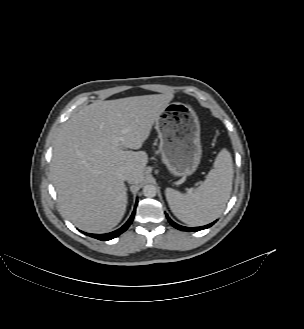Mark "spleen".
Instances as JSON below:
<instances>
[{
    "label": "spleen",
    "instance_id": "spleen-1",
    "mask_svg": "<svg viewBox=\"0 0 304 329\" xmlns=\"http://www.w3.org/2000/svg\"><path fill=\"white\" fill-rule=\"evenodd\" d=\"M233 162L228 150H221L205 181L193 192L182 194L166 188L165 195L173 214L190 226L208 224L218 218L230 198Z\"/></svg>",
    "mask_w": 304,
    "mask_h": 329
}]
</instances>
